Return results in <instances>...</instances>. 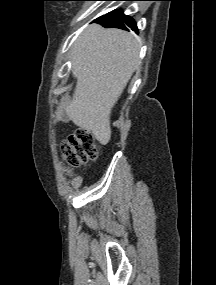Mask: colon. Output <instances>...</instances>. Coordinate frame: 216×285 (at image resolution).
<instances>
[{
	"label": "colon",
	"mask_w": 216,
	"mask_h": 285,
	"mask_svg": "<svg viewBox=\"0 0 216 285\" xmlns=\"http://www.w3.org/2000/svg\"><path fill=\"white\" fill-rule=\"evenodd\" d=\"M98 153V145L92 135L84 129H78L70 134L62 144L63 159L71 168L95 160Z\"/></svg>",
	"instance_id": "1"
}]
</instances>
